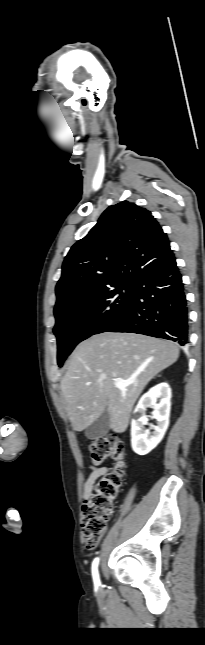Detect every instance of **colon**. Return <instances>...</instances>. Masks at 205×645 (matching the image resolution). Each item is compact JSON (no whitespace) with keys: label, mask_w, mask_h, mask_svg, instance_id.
<instances>
[{"label":"colon","mask_w":205,"mask_h":645,"mask_svg":"<svg viewBox=\"0 0 205 645\" xmlns=\"http://www.w3.org/2000/svg\"><path fill=\"white\" fill-rule=\"evenodd\" d=\"M94 464H102L108 458L116 461L115 466L96 484L92 494L82 506V534L85 546L93 550L102 538L114 501L119 493L124 475L125 450L122 442L112 437L98 438L89 446Z\"/></svg>","instance_id":"5ec220e1"}]
</instances>
